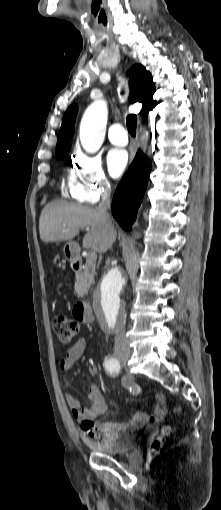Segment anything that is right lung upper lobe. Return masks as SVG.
<instances>
[{
	"instance_id": "right-lung-upper-lobe-1",
	"label": "right lung upper lobe",
	"mask_w": 221,
	"mask_h": 510,
	"mask_svg": "<svg viewBox=\"0 0 221 510\" xmlns=\"http://www.w3.org/2000/svg\"><path fill=\"white\" fill-rule=\"evenodd\" d=\"M130 79V101L141 102L143 108L141 113L146 118L149 110L156 106L153 100L155 86L151 74L140 64L132 66L129 70ZM77 105H71L64 114L62 125L58 133L56 154L70 149V140L74 134V124L77 114Z\"/></svg>"
}]
</instances>
